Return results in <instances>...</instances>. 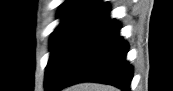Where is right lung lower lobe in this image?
<instances>
[{
  "instance_id": "1",
  "label": "right lung lower lobe",
  "mask_w": 173,
  "mask_h": 91,
  "mask_svg": "<svg viewBox=\"0 0 173 91\" xmlns=\"http://www.w3.org/2000/svg\"><path fill=\"white\" fill-rule=\"evenodd\" d=\"M109 12L99 14L77 32L45 81L46 91L86 81L130 91L133 67L126 60L129 45L119 36L120 23L111 19Z\"/></svg>"
}]
</instances>
